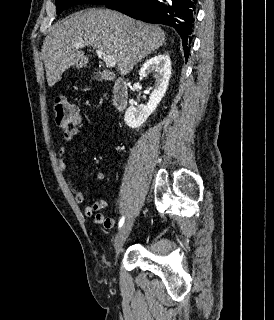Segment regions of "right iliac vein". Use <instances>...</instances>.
I'll list each match as a JSON object with an SVG mask.
<instances>
[{
    "instance_id": "right-iliac-vein-1",
    "label": "right iliac vein",
    "mask_w": 274,
    "mask_h": 320,
    "mask_svg": "<svg viewBox=\"0 0 274 320\" xmlns=\"http://www.w3.org/2000/svg\"><path fill=\"white\" fill-rule=\"evenodd\" d=\"M133 226V216H129L122 228L120 229L114 244L115 248V258L117 259L119 253L122 250V246L124 245L127 237L130 234V231Z\"/></svg>"
}]
</instances>
